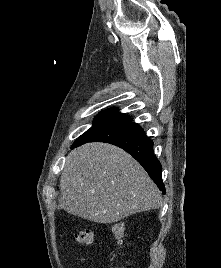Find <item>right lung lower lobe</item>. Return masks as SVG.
Returning <instances> with one entry per match:
<instances>
[{"mask_svg": "<svg viewBox=\"0 0 221 268\" xmlns=\"http://www.w3.org/2000/svg\"><path fill=\"white\" fill-rule=\"evenodd\" d=\"M95 141L114 144L127 151L144 167L158 188L165 193V186L162 182V166L153 152V142L138 124L124 123L84 143Z\"/></svg>", "mask_w": 221, "mask_h": 268, "instance_id": "98d812e1", "label": "right lung lower lobe"}]
</instances>
